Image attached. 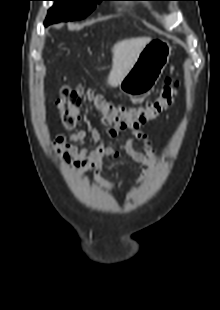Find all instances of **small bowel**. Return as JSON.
<instances>
[{
    "label": "small bowel",
    "mask_w": 220,
    "mask_h": 310,
    "mask_svg": "<svg viewBox=\"0 0 220 310\" xmlns=\"http://www.w3.org/2000/svg\"><path fill=\"white\" fill-rule=\"evenodd\" d=\"M108 137L114 138L118 130L106 127ZM90 137L95 147L88 151L84 144ZM139 141L143 151L134 147V141ZM74 143L81 145L76 146ZM54 152L65 164L82 177L86 172L93 171L95 179L108 188H118L120 185L107 181L102 175L103 163L106 160H116L122 155L129 156L133 161L141 164L145 173L153 171L157 166L158 153L147 135L140 130H132L131 138L117 146L106 145L103 137L96 128L81 129L76 133L64 136L58 135L54 140Z\"/></svg>",
    "instance_id": "1"
}]
</instances>
